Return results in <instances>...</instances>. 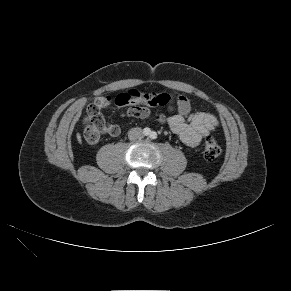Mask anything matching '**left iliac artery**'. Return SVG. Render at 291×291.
I'll list each match as a JSON object with an SVG mask.
<instances>
[{
	"label": "left iliac artery",
	"instance_id": "44dca946",
	"mask_svg": "<svg viewBox=\"0 0 291 291\" xmlns=\"http://www.w3.org/2000/svg\"><path fill=\"white\" fill-rule=\"evenodd\" d=\"M150 138H151V139H156V138H157V133L154 132V131L151 132V133H150Z\"/></svg>",
	"mask_w": 291,
	"mask_h": 291
}]
</instances>
